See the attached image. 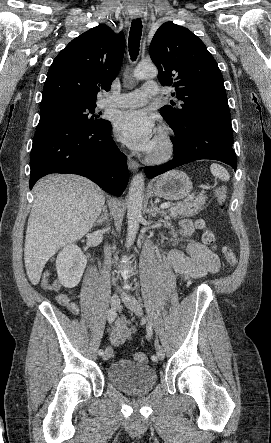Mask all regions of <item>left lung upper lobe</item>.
<instances>
[{
  "label": "left lung upper lobe",
  "instance_id": "5c2ea615",
  "mask_svg": "<svg viewBox=\"0 0 271 443\" xmlns=\"http://www.w3.org/2000/svg\"><path fill=\"white\" fill-rule=\"evenodd\" d=\"M149 53L158 68L162 85L175 87L173 93L183 104L166 105L160 113L168 125H183L198 112L209 110L230 116L221 71L199 37L172 22L162 24L150 44Z\"/></svg>",
  "mask_w": 271,
  "mask_h": 443
}]
</instances>
